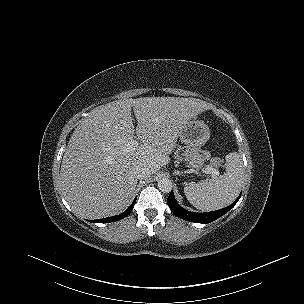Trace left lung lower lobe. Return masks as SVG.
Listing matches in <instances>:
<instances>
[{"label": "left lung lower lobe", "mask_w": 304, "mask_h": 304, "mask_svg": "<svg viewBox=\"0 0 304 304\" xmlns=\"http://www.w3.org/2000/svg\"><path fill=\"white\" fill-rule=\"evenodd\" d=\"M241 194L238 196V198L228 207H225L223 209L212 211V212H206V213H194L187 211L183 209L175 200L173 191H171L167 203L171 211L179 218L184 219L186 221L195 222V223H210L225 213H227L240 199Z\"/></svg>", "instance_id": "left-lung-lower-lobe-1"}]
</instances>
